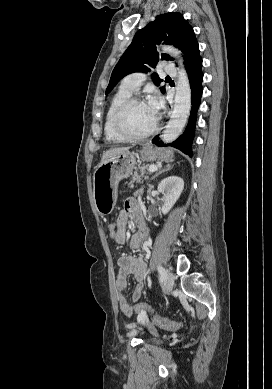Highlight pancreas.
Wrapping results in <instances>:
<instances>
[{
	"label": "pancreas",
	"instance_id": "pancreas-1",
	"mask_svg": "<svg viewBox=\"0 0 272 389\" xmlns=\"http://www.w3.org/2000/svg\"><path fill=\"white\" fill-rule=\"evenodd\" d=\"M149 167H150V165H143V166L139 167L137 172H135L134 175L131 177V181H130L131 187H134V185L137 183H141L143 181V178H145V179L147 178V177H144V174H145L146 170H149Z\"/></svg>",
	"mask_w": 272,
	"mask_h": 389
}]
</instances>
